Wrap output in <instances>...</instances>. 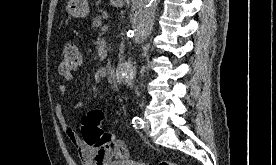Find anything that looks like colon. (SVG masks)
Masks as SVG:
<instances>
[{
    "label": "colon",
    "mask_w": 276,
    "mask_h": 165,
    "mask_svg": "<svg viewBox=\"0 0 276 165\" xmlns=\"http://www.w3.org/2000/svg\"><path fill=\"white\" fill-rule=\"evenodd\" d=\"M80 63L81 55L77 45L71 41L67 42L61 55L58 67L59 73L62 76L72 75L78 69ZM103 118L104 113L100 109H93L82 118L81 130L85 143L101 153H112L117 159L124 158L126 150L121 145V140L102 129ZM159 165L178 164L170 161H161Z\"/></svg>",
    "instance_id": "1"
}]
</instances>
